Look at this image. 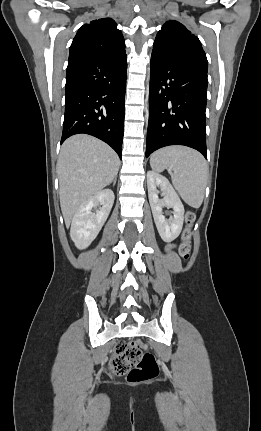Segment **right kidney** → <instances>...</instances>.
Returning <instances> with one entry per match:
<instances>
[{"label": "right kidney", "mask_w": 261, "mask_h": 431, "mask_svg": "<svg viewBox=\"0 0 261 431\" xmlns=\"http://www.w3.org/2000/svg\"><path fill=\"white\" fill-rule=\"evenodd\" d=\"M111 189L102 190L86 200L76 211L71 224L70 237L78 249L87 248L96 238L107 220L114 203ZM99 209H97V207ZM96 209L92 212V209Z\"/></svg>", "instance_id": "right-kidney-1"}]
</instances>
